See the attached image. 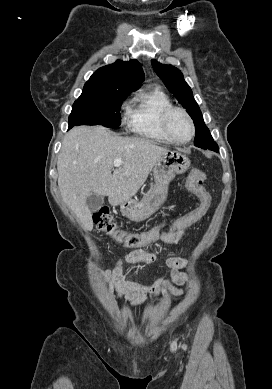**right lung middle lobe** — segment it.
Here are the masks:
<instances>
[{
    "label": "right lung middle lobe",
    "instance_id": "right-lung-middle-lobe-1",
    "mask_svg": "<svg viewBox=\"0 0 272 389\" xmlns=\"http://www.w3.org/2000/svg\"><path fill=\"white\" fill-rule=\"evenodd\" d=\"M129 92L94 87L83 88L74 102L69 116V127L75 125H103L116 128L121 123L120 108Z\"/></svg>",
    "mask_w": 272,
    "mask_h": 389
}]
</instances>
